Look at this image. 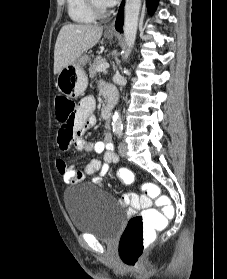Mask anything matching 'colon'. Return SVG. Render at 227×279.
<instances>
[{
	"label": "colon",
	"mask_w": 227,
	"mask_h": 279,
	"mask_svg": "<svg viewBox=\"0 0 227 279\" xmlns=\"http://www.w3.org/2000/svg\"><path fill=\"white\" fill-rule=\"evenodd\" d=\"M55 109L56 118L61 125L60 135L72 137L78 129L75 123L74 100L66 96H58L55 100ZM117 176L123 183L136 181L134 173L129 169H121ZM140 183L157 204L161 205L167 201L168 197L161 192L159 186L149 181ZM172 218L173 214L165 213L161 208L144 209L140 214L132 217L119 244L120 259L128 265H135L142 255L144 240L152 237L163 227L165 221Z\"/></svg>",
	"instance_id": "colon-1"
}]
</instances>
